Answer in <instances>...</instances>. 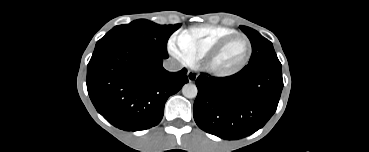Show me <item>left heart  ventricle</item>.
Wrapping results in <instances>:
<instances>
[{
  "instance_id": "left-heart-ventricle-1",
  "label": "left heart ventricle",
  "mask_w": 369,
  "mask_h": 152,
  "mask_svg": "<svg viewBox=\"0 0 369 152\" xmlns=\"http://www.w3.org/2000/svg\"><path fill=\"white\" fill-rule=\"evenodd\" d=\"M247 54V43L242 38L229 42L214 58L212 65L220 71H228L237 67Z\"/></svg>"
}]
</instances>
